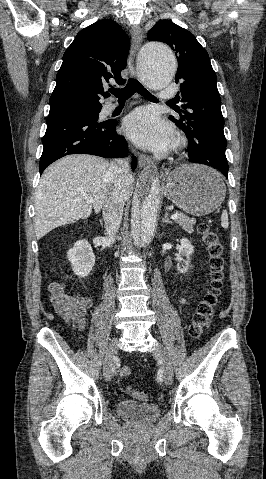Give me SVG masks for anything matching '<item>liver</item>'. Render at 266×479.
<instances>
[{
	"label": "liver",
	"mask_w": 266,
	"mask_h": 479,
	"mask_svg": "<svg viewBox=\"0 0 266 479\" xmlns=\"http://www.w3.org/2000/svg\"><path fill=\"white\" fill-rule=\"evenodd\" d=\"M110 166L105 159L85 154L69 155L50 165L42 174L34 200L37 239L57 227L87 219L93 209L100 212L111 186ZM133 183L130 176L125 200ZM84 195L95 202L87 203Z\"/></svg>",
	"instance_id": "1"
}]
</instances>
